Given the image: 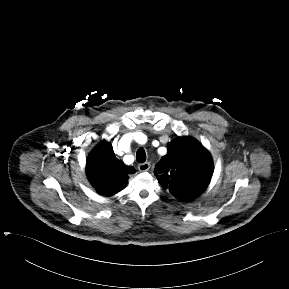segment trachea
Wrapping results in <instances>:
<instances>
[{"label":"trachea","mask_w":289,"mask_h":289,"mask_svg":"<svg viewBox=\"0 0 289 289\" xmlns=\"http://www.w3.org/2000/svg\"><path fill=\"white\" fill-rule=\"evenodd\" d=\"M136 160L140 163H143L146 161V153H145V150L143 148H139L137 150Z\"/></svg>","instance_id":"trachea-1"}]
</instances>
